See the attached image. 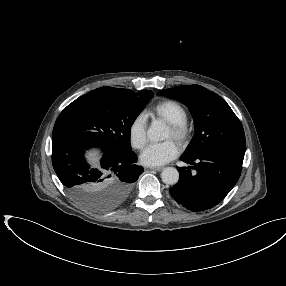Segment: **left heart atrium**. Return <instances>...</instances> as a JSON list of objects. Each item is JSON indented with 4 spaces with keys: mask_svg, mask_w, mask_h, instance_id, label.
Here are the masks:
<instances>
[{
    "mask_svg": "<svg viewBox=\"0 0 286 286\" xmlns=\"http://www.w3.org/2000/svg\"><path fill=\"white\" fill-rule=\"evenodd\" d=\"M179 154V146L173 140L150 144L141 153V162L148 166H160Z\"/></svg>",
    "mask_w": 286,
    "mask_h": 286,
    "instance_id": "left-heart-atrium-1",
    "label": "left heart atrium"
}]
</instances>
